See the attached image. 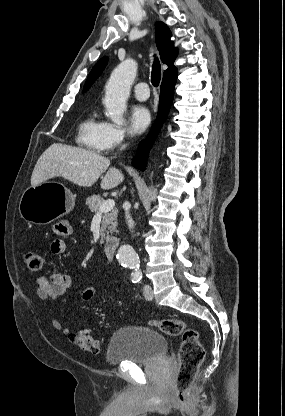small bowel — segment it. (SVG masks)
<instances>
[{
    "instance_id": "small-bowel-1",
    "label": "small bowel",
    "mask_w": 285,
    "mask_h": 416,
    "mask_svg": "<svg viewBox=\"0 0 285 416\" xmlns=\"http://www.w3.org/2000/svg\"><path fill=\"white\" fill-rule=\"evenodd\" d=\"M55 232L59 236H66L71 234L72 228L68 223L60 222L55 226ZM66 242L61 238H56L50 245V250L54 255H61L66 252ZM71 278L64 273H53L49 277L41 276L37 278L36 295L44 300H55L70 288ZM52 327L63 334H68L70 331L57 318L51 319Z\"/></svg>"
}]
</instances>
